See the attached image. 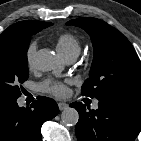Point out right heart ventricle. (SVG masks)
I'll return each instance as SVG.
<instances>
[{"mask_svg": "<svg viewBox=\"0 0 141 141\" xmlns=\"http://www.w3.org/2000/svg\"><path fill=\"white\" fill-rule=\"evenodd\" d=\"M56 48L64 59L77 57L81 52V42L71 33H62L56 39Z\"/></svg>", "mask_w": 141, "mask_h": 141, "instance_id": "1", "label": "right heart ventricle"}]
</instances>
